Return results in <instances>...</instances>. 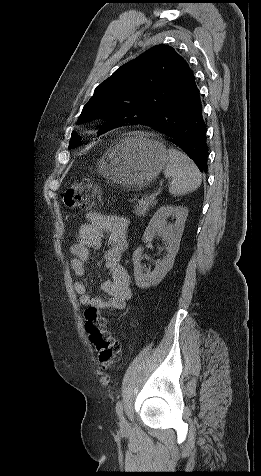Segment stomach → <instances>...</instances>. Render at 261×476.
<instances>
[{
	"instance_id": "0dacf381",
	"label": "stomach",
	"mask_w": 261,
	"mask_h": 476,
	"mask_svg": "<svg viewBox=\"0 0 261 476\" xmlns=\"http://www.w3.org/2000/svg\"><path fill=\"white\" fill-rule=\"evenodd\" d=\"M168 163L165 147L144 134L132 133L115 142L98 160L99 172L126 187L155 179Z\"/></svg>"
}]
</instances>
